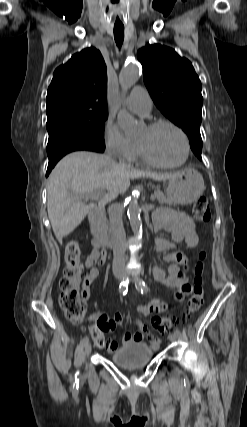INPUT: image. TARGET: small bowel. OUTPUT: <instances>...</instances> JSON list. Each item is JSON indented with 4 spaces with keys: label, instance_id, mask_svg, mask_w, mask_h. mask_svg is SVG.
I'll return each mask as SVG.
<instances>
[{
    "label": "small bowel",
    "instance_id": "obj_1",
    "mask_svg": "<svg viewBox=\"0 0 247 427\" xmlns=\"http://www.w3.org/2000/svg\"><path fill=\"white\" fill-rule=\"evenodd\" d=\"M154 228L156 231L165 230L171 235V239L157 238L155 241L157 251L166 253L164 260L169 264L168 274L159 267H153L154 278L166 285L169 288L176 289L175 300L182 302L186 295L190 293V285L185 272L188 270V259L181 252H169L174 250L180 243H185L189 249H193L198 244V235L193 219L182 212H175L169 209H161L154 216ZM93 250L84 261L88 272L83 280L82 295L88 299L91 292V287L99 277L98 266L105 264L107 254L100 249V246L93 241ZM168 308L167 303L160 300H152L147 304L138 305L136 312L142 316H148L151 313H162ZM90 321L98 325L103 332H111L118 325L122 324L123 316L117 312L113 318H109L106 314L98 312L90 316ZM135 324L139 330L134 333H125L122 342L129 344L132 342H142L147 338L152 349L157 350L160 347V340L151 333L147 324L140 320H136ZM118 348L115 340L107 342L106 349L108 352H114Z\"/></svg>",
    "mask_w": 247,
    "mask_h": 427
}]
</instances>
